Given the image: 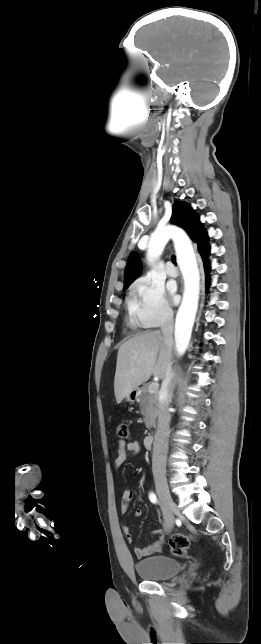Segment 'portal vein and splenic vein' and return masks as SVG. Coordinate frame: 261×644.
Returning a JSON list of instances; mask_svg holds the SVG:
<instances>
[{
  "label": "portal vein and splenic vein",
  "instance_id": "1",
  "mask_svg": "<svg viewBox=\"0 0 261 644\" xmlns=\"http://www.w3.org/2000/svg\"><path fill=\"white\" fill-rule=\"evenodd\" d=\"M158 388H159V384L157 382H155V383H152L149 386L148 390H149L150 393H155V392H157Z\"/></svg>",
  "mask_w": 261,
  "mask_h": 644
}]
</instances>
